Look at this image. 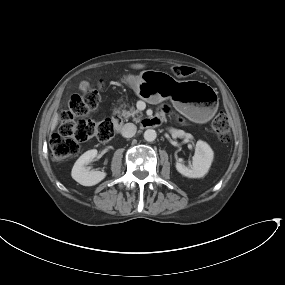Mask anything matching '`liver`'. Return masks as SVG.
<instances>
[{
    "instance_id": "1",
    "label": "liver",
    "mask_w": 285,
    "mask_h": 285,
    "mask_svg": "<svg viewBox=\"0 0 285 285\" xmlns=\"http://www.w3.org/2000/svg\"><path fill=\"white\" fill-rule=\"evenodd\" d=\"M134 69H142L144 67L143 64H133L131 65ZM58 124V114H56L51 120V131H54Z\"/></svg>"
}]
</instances>
